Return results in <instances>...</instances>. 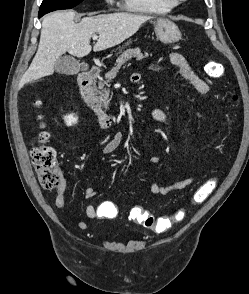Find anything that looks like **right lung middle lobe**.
Listing matches in <instances>:
<instances>
[{
  "instance_id": "obj_1",
  "label": "right lung middle lobe",
  "mask_w": 249,
  "mask_h": 294,
  "mask_svg": "<svg viewBox=\"0 0 249 294\" xmlns=\"http://www.w3.org/2000/svg\"><path fill=\"white\" fill-rule=\"evenodd\" d=\"M83 0H43L39 14H46L59 9H71Z\"/></svg>"
}]
</instances>
